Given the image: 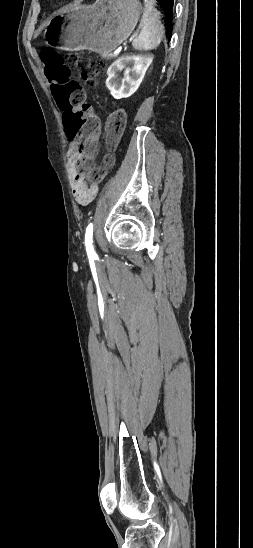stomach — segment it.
Wrapping results in <instances>:
<instances>
[{"instance_id": "obj_1", "label": "stomach", "mask_w": 253, "mask_h": 548, "mask_svg": "<svg viewBox=\"0 0 253 548\" xmlns=\"http://www.w3.org/2000/svg\"><path fill=\"white\" fill-rule=\"evenodd\" d=\"M142 10L138 0H96L57 14L44 36L48 44L67 51L111 53L130 36Z\"/></svg>"}]
</instances>
